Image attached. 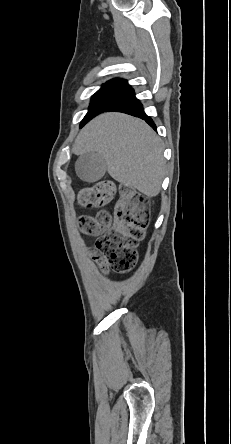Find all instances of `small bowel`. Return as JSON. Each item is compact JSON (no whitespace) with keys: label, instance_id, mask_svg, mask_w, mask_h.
<instances>
[{"label":"small bowel","instance_id":"small-bowel-1","mask_svg":"<svg viewBox=\"0 0 231 444\" xmlns=\"http://www.w3.org/2000/svg\"><path fill=\"white\" fill-rule=\"evenodd\" d=\"M91 256H92V259L99 265V267L102 270H107L108 269V266L106 265L105 261L103 260V258L96 251H93Z\"/></svg>","mask_w":231,"mask_h":444}]
</instances>
